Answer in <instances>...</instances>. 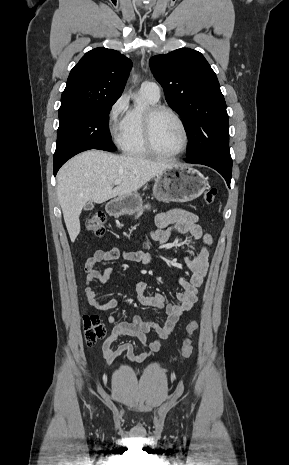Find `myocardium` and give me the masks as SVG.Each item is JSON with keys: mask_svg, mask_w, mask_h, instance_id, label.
I'll list each match as a JSON object with an SVG mask.
<instances>
[{"mask_svg": "<svg viewBox=\"0 0 289 465\" xmlns=\"http://www.w3.org/2000/svg\"><path fill=\"white\" fill-rule=\"evenodd\" d=\"M161 113H168L171 116H173L177 120V122L179 123L183 131V135H184L183 146L179 151L172 153V154H165V153L160 152L157 149L155 142H154V121L156 117ZM143 135H144V142H145V145L148 151L152 155L159 157V158H164V159H173V158H177L181 156L182 154L186 152V150L189 147V143H190V134H189V130L187 128L185 121L179 115L178 112H176L173 108L165 106V105L154 104V105L149 106L145 110L144 117H143Z\"/></svg>", "mask_w": 289, "mask_h": 465, "instance_id": "1", "label": "myocardium"}]
</instances>
